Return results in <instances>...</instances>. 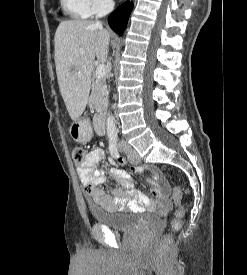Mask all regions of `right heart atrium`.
I'll return each mask as SVG.
<instances>
[{"instance_id":"1","label":"right heart atrium","mask_w":247,"mask_h":275,"mask_svg":"<svg viewBox=\"0 0 247 275\" xmlns=\"http://www.w3.org/2000/svg\"><path fill=\"white\" fill-rule=\"evenodd\" d=\"M94 14H102L113 6V0H91Z\"/></svg>"}]
</instances>
